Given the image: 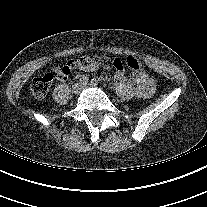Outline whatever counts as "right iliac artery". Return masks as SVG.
<instances>
[{"instance_id": "1", "label": "right iliac artery", "mask_w": 207, "mask_h": 207, "mask_svg": "<svg viewBox=\"0 0 207 207\" xmlns=\"http://www.w3.org/2000/svg\"><path fill=\"white\" fill-rule=\"evenodd\" d=\"M89 78L87 75H83L81 78H80V83L81 84H87Z\"/></svg>"}]
</instances>
